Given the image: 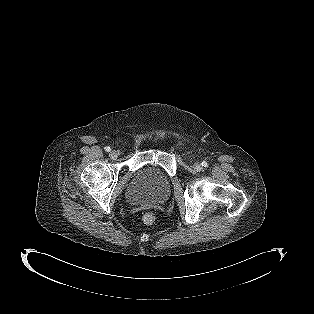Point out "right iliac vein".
<instances>
[{"label":"right iliac vein","mask_w":314,"mask_h":314,"mask_svg":"<svg viewBox=\"0 0 314 314\" xmlns=\"http://www.w3.org/2000/svg\"><path fill=\"white\" fill-rule=\"evenodd\" d=\"M109 155L111 159H116L118 157V153L115 150L111 151Z\"/></svg>","instance_id":"1"}]
</instances>
